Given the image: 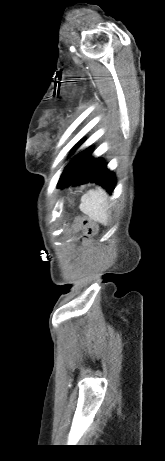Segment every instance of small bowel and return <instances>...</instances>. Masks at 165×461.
I'll use <instances>...</instances> for the list:
<instances>
[{"label":"small bowel","instance_id":"small-bowel-1","mask_svg":"<svg viewBox=\"0 0 165 461\" xmlns=\"http://www.w3.org/2000/svg\"><path fill=\"white\" fill-rule=\"evenodd\" d=\"M74 240L76 242H83L85 240V235L84 234H75L74 235ZM76 242H69L68 243V250L70 252L71 256H82L83 255V248H77V243Z\"/></svg>","mask_w":165,"mask_h":461}]
</instances>
